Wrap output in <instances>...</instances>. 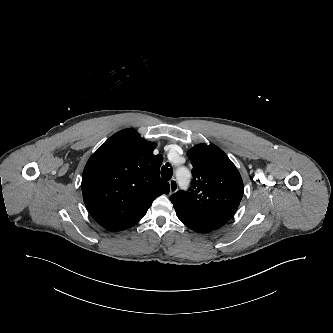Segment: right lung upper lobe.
<instances>
[{
  "mask_svg": "<svg viewBox=\"0 0 333 333\" xmlns=\"http://www.w3.org/2000/svg\"><path fill=\"white\" fill-rule=\"evenodd\" d=\"M155 144L132 129L110 137L89 158L82 176V194L94 220L109 231H121L141 220L153 200L169 193L159 169L162 155Z\"/></svg>",
  "mask_w": 333,
  "mask_h": 333,
  "instance_id": "obj_1",
  "label": "right lung upper lobe"
}]
</instances>
